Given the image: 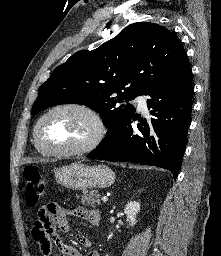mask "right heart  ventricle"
Wrapping results in <instances>:
<instances>
[{
    "label": "right heart ventricle",
    "instance_id": "obj_1",
    "mask_svg": "<svg viewBox=\"0 0 221 256\" xmlns=\"http://www.w3.org/2000/svg\"><path fill=\"white\" fill-rule=\"evenodd\" d=\"M36 145V144H35ZM36 148L42 153V154H46V153H44L43 151H41L37 146H36Z\"/></svg>",
    "mask_w": 221,
    "mask_h": 256
}]
</instances>
